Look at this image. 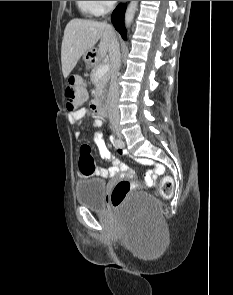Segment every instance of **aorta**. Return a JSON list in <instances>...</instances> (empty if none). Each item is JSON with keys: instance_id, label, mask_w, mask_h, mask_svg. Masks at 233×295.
Listing matches in <instances>:
<instances>
[{"instance_id": "aorta-1", "label": "aorta", "mask_w": 233, "mask_h": 295, "mask_svg": "<svg viewBox=\"0 0 233 295\" xmlns=\"http://www.w3.org/2000/svg\"><path fill=\"white\" fill-rule=\"evenodd\" d=\"M138 1H130L125 14V24L129 27L134 19L137 10Z\"/></svg>"}]
</instances>
